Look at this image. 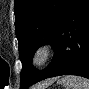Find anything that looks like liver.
Wrapping results in <instances>:
<instances>
[{"instance_id": "1", "label": "liver", "mask_w": 89, "mask_h": 89, "mask_svg": "<svg viewBox=\"0 0 89 89\" xmlns=\"http://www.w3.org/2000/svg\"><path fill=\"white\" fill-rule=\"evenodd\" d=\"M55 81V79H51L43 84V86H36L34 89H42L40 87H47L48 85L52 84ZM44 89V88H43Z\"/></svg>"}]
</instances>
